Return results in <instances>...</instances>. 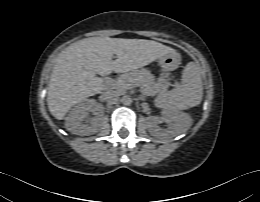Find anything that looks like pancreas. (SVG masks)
Instances as JSON below:
<instances>
[{"instance_id": "pancreas-1", "label": "pancreas", "mask_w": 260, "mask_h": 202, "mask_svg": "<svg viewBox=\"0 0 260 202\" xmlns=\"http://www.w3.org/2000/svg\"><path fill=\"white\" fill-rule=\"evenodd\" d=\"M106 85L110 90L118 93H125L133 86H138L145 96H155L163 94L169 83L165 79L156 82L154 75L148 69L142 68L125 73L116 80H107Z\"/></svg>"}]
</instances>
